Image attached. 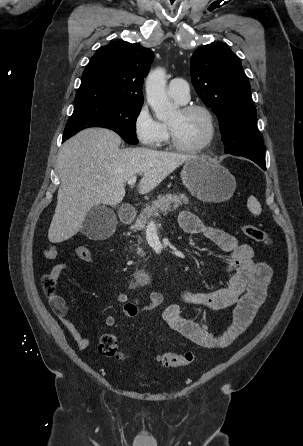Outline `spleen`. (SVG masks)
Wrapping results in <instances>:
<instances>
[{
	"label": "spleen",
	"instance_id": "1",
	"mask_svg": "<svg viewBox=\"0 0 303 446\" xmlns=\"http://www.w3.org/2000/svg\"><path fill=\"white\" fill-rule=\"evenodd\" d=\"M247 207L250 210V212L254 215H260L261 214V205L258 202V200L254 196H250L247 201Z\"/></svg>",
	"mask_w": 303,
	"mask_h": 446
}]
</instances>
